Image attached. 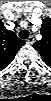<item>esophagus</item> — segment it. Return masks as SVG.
Masks as SVG:
<instances>
[{"mask_svg":"<svg viewBox=\"0 0 51 101\" xmlns=\"http://www.w3.org/2000/svg\"><path fill=\"white\" fill-rule=\"evenodd\" d=\"M26 42H27L28 44H33V43H34V37H33V36H30V37L26 40Z\"/></svg>","mask_w":51,"mask_h":101,"instance_id":"34e87169","label":"esophagus"}]
</instances>
